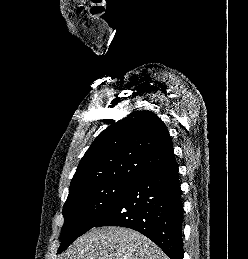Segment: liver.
Instances as JSON below:
<instances>
[{
    "label": "liver",
    "mask_w": 248,
    "mask_h": 259,
    "mask_svg": "<svg viewBox=\"0 0 248 259\" xmlns=\"http://www.w3.org/2000/svg\"><path fill=\"white\" fill-rule=\"evenodd\" d=\"M60 259H169L139 232L118 226L93 228L79 237Z\"/></svg>",
    "instance_id": "6515ba94"
}]
</instances>
